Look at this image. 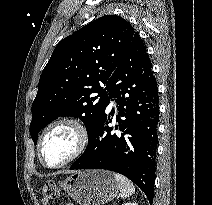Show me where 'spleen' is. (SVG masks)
Returning a JSON list of instances; mask_svg holds the SVG:
<instances>
[{
	"mask_svg": "<svg viewBox=\"0 0 212 205\" xmlns=\"http://www.w3.org/2000/svg\"><path fill=\"white\" fill-rule=\"evenodd\" d=\"M114 177L118 184V189L120 191L121 198L125 199L127 197H130L132 194H134L135 187L128 178L118 173H115Z\"/></svg>",
	"mask_w": 212,
	"mask_h": 205,
	"instance_id": "obj_1",
	"label": "spleen"
}]
</instances>
